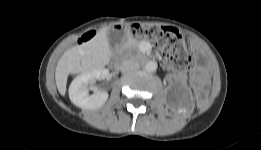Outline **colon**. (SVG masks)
<instances>
[{"label":"colon","instance_id":"colon-1","mask_svg":"<svg viewBox=\"0 0 261 150\" xmlns=\"http://www.w3.org/2000/svg\"><path fill=\"white\" fill-rule=\"evenodd\" d=\"M129 33L138 39L153 40L166 55L167 65L174 71H186L191 57L186 49V36L174 27H154L147 24H131ZM95 36L94 31L85 33L80 42H87Z\"/></svg>","mask_w":261,"mask_h":150}]
</instances>
